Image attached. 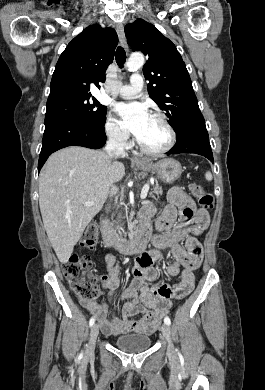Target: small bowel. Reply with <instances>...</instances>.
Returning a JSON list of instances; mask_svg holds the SVG:
<instances>
[{
  "label": "small bowel",
  "mask_w": 265,
  "mask_h": 390,
  "mask_svg": "<svg viewBox=\"0 0 265 390\" xmlns=\"http://www.w3.org/2000/svg\"><path fill=\"white\" fill-rule=\"evenodd\" d=\"M169 204L159 213L156 228L158 233L152 237L154 249L141 254L133 267V280L129 287L117 292L120 285L119 264L113 254H106L104 262L106 273L100 276L102 287L109 291L108 300L114 304L128 300L118 316L111 308L112 318L108 319V306L98 301L82 302V305L100 322L107 335L119 336L128 333H152L167 315L174 299L188 295L194 286V273L203 259L202 246L197 239L208 226L207 210L197 209L193 199L178 187L168 193ZM157 209L147 206L141 216L149 220L157 214ZM179 216L180 222L176 223ZM184 243V246H182ZM169 251L173 261L168 264L171 276L181 275L177 285L158 281V273L153 264L164 259ZM142 314L140 320L132 317Z\"/></svg>",
  "instance_id": "1"
}]
</instances>
